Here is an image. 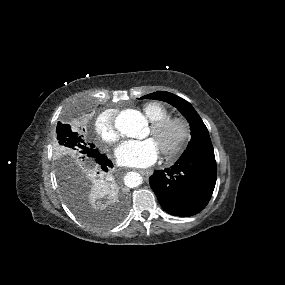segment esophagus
I'll return each instance as SVG.
<instances>
[{
	"instance_id": "esophagus-1",
	"label": "esophagus",
	"mask_w": 285,
	"mask_h": 285,
	"mask_svg": "<svg viewBox=\"0 0 285 285\" xmlns=\"http://www.w3.org/2000/svg\"><path fill=\"white\" fill-rule=\"evenodd\" d=\"M140 172L147 177L152 175V173H153L152 169H142V170H140Z\"/></svg>"
}]
</instances>
